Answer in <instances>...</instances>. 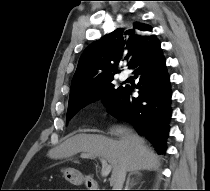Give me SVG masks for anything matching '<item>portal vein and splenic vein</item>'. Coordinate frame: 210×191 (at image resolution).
<instances>
[{
  "label": "portal vein and splenic vein",
  "instance_id": "18ae733b",
  "mask_svg": "<svg viewBox=\"0 0 210 191\" xmlns=\"http://www.w3.org/2000/svg\"><path fill=\"white\" fill-rule=\"evenodd\" d=\"M81 157H83V158H95L93 155H89V154H82ZM100 160L102 162L101 175L103 177H106L111 172L112 166L110 164H108L107 161L104 158H100Z\"/></svg>",
  "mask_w": 210,
  "mask_h": 191
}]
</instances>
